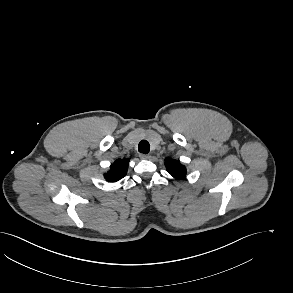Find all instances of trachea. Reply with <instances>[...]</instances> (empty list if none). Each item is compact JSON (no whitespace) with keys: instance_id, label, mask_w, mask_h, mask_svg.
Instances as JSON below:
<instances>
[{"instance_id":"obj_1","label":"trachea","mask_w":293,"mask_h":293,"mask_svg":"<svg viewBox=\"0 0 293 293\" xmlns=\"http://www.w3.org/2000/svg\"><path fill=\"white\" fill-rule=\"evenodd\" d=\"M138 150L141 153L147 154L150 151V145L148 141L142 140L138 145Z\"/></svg>"}]
</instances>
